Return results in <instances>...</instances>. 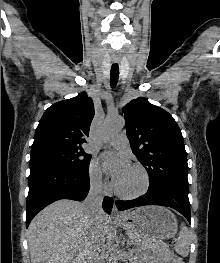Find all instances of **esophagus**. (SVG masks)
<instances>
[{
	"label": "esophagus",
	"mask_w": 220,
	"mask_h": 263,
	"mask_svg": "<svg viewBox=\"0 0 220 263\" xmlns=\"http://www.w3.org/2000/svg\"><path fill=\"white\" fill-rule=\"evenodd\" d=\"M111 215H112V217H121V215H122L120 213V211L118 210V208L116 207L115 202H114V205H113V208H112Z\"/></svg>",
	"instance_id": "34e87169"
}]
</instances>
